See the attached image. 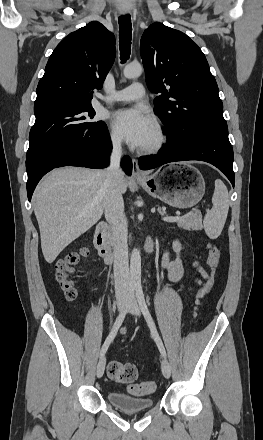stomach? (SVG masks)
I'll return each mask as SVG.
<instances>
[{
	"label": "stomach",
	"instance_id": "1",
	"mask_svg": "<svg viewBox=\"0 0 263 440\" xmlns=\"http://www.w3.org/2000/svg\"><path fill=\"white\" fill-rule=\"evenodd\" d=\"M168 169H173L174 173H167ZM188 172L192 174L189 175ZM138 183L152 197L180 209L193 207L205 193L204 178L192 166H188L185 173L180 166H170L139 180Z\"/></svg>",
	"mask_w": 263,
	"mask_h": 440
}]
</instances>
